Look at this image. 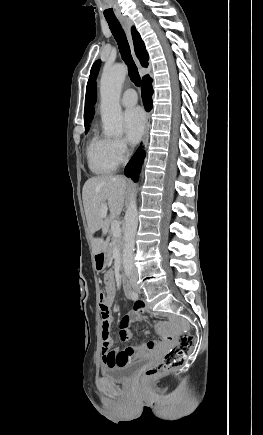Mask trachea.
Masks as SVG:
<instances>
[{"label":"trachea","instance_id":"3493384b","mask_svg":"<svg viewBox=\"0 0 263 435\" xmlns=\"http://www.w3.org/2000/svg\"><path fill=\"white\" fill-rule=\"evenodd\" d=\"M108 25L110 27V30L118 44L121 57L125 64L128 66V74L131 79V81L136 85H141V79L140 75L137 69V66L135 65L131 53H130V47L127 41L126 34L118 20H108Z\"/></svg>","mask_w":263,"mask_h":435}]
</instances>
